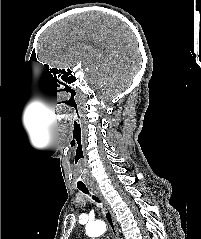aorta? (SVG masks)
<instances>
[{
	"mask_svg": "<svg viewBox=\"0 0 201 239\" xmlns=\"http://www.w3.org/2000/svg\"><path fill=\"white\" fill-rule=\"evenodd\" d=\"M106 232V224L103 221L90 222L86 225V234L89 237H98Z\"/></svg>",
	"mask_w": 201,
	"mask_h": 239,
	"instance_id": "762f6f07",
	"label": "aorta"
}]
</instances>
